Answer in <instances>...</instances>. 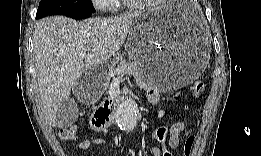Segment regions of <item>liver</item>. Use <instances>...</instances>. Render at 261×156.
Masks as SVG:
<instances>
[{
    "instance_id": "liver-1",
    "label": "liver",
    "mask_w": 261,
    "mask_h": 156,
    "mask_svg": "<svg viewBox=\"0 0 261 156\" xmlns=\"http://www.w3.org/2000/svg\"><path fill=\"white\" fill-rule=\"evenodd\" d=\"M142 12L76 22L64 16L40 20L34 26V61L38 97L46 122L57 127V114L71 89L90 68L108 62L122 47ZM85 54L83 59L79 55ZM78 116V109L75 105Z\"/></svg>"
}]
</instances>
